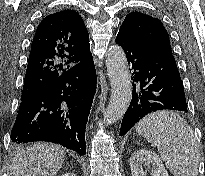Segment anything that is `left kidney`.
Wrapping results in <instances>:
<instances>
[{
	"label": "left kidney",
	"mask_w": 205,
	"mask_h": 176,
	"mask_svg": "<svg viewBox=\"0 0 205 176\" xmlns=\"http://www.w3.org/2000/svg\"><path fill=\"white\" fill-rule=\"evenodd\" d=\"M132 176H146L143 166H151L153 176H169L160 157L147 149H139L132 154L130 160Z\"/></svg>",
	"instance_id": "obj_1"
}]
</instances>
